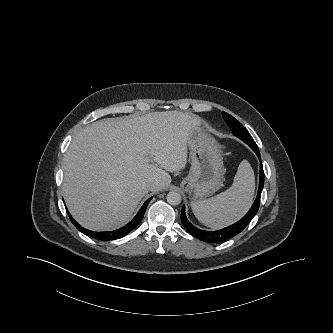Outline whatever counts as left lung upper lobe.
Wrapping results in <instances>:
<instances>
[{
  "label": "left lung upper lobe",
  "instance_id": "obj_1",
  "mask_svg": "<svg viewBox=\"0 0 333 333\" xmlns=\"http://www.w3.org/2000/svg\"><path fill=\"white\" fill-rule=\"evenodd\" d=\"M222 116L235 136L240 138L250 147H257L255 141L253 140L247 129L239 121H237L233 116L226 112H222Z\"/></svg>",
  "mask_w": 333,
  "mask_h": 333
}]
</instances>
